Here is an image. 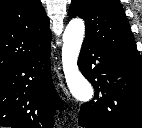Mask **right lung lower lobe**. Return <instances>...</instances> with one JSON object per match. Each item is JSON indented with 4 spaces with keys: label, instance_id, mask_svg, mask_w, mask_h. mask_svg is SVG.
<instances>
[{
    "label": "right lung lower lobe",
    "instance_id": "obj_1",
    "mask_svg": "<svg viewBox=\"0 0 142 128\" xmlns=\"http://www.w3.org/2000/svg\"><path fill=\"white\" fill-rule=\"evenodd\" d=\"M61 106L50 71V45L0 74V126L51 128Z\"/></svg>",
    "mask_w": 142,
    "mask_h": 128
}]
</instances>
